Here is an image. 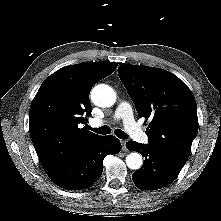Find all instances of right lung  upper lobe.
Wrapping results in <instances>:
<instances>
[{
    "label": "right lung upper lobe",
    "mask_w": 221,
    "mask_h": 221,
    "mask_svg": "<svg viewBox=\"0 0 221 221\" xmlns=\"http://www.w3.org/2000/svg\"><path fill=\"white\" fill-rule=\"evenodd\" d=\"M117 63H80L59 69L40 86L29 110V131L46 173L58 168L100 136L85 127L89 93L112 74Z\"/></svg>",
    "instance_id": "obj_1"
}]
</instances>
